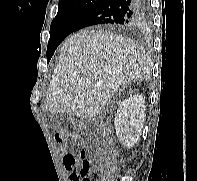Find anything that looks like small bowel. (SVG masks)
<instances>
[{
  "label": "small bowel",
  "mask_w": 197,
  "mask_h": 181,
  "mask_svg": "<svg viewBox=\"0 0 197 181\" xmlns=\"http://www.w3.org/2000/svg\"><path fill=\"white\" fill-rule=\"evenodd\" d=\"M57 140L61 146L60 155L63 158L64 166H65L66 170L70 173L69 181H78V176L75 174L76 170H77V156H76V154L67 152L65 150V147H64L65 140L64 139H62V140L57 139ZM83 151H87V150L83 149L81 151V153ZM81 153H80V155H81Z\"/></svg>",
  "instance_id": "c3829d8e"
}]
</instances>
